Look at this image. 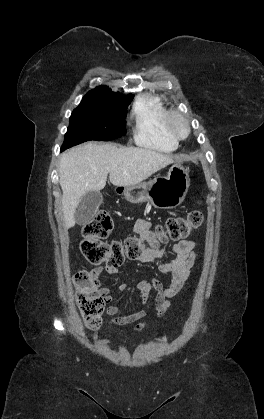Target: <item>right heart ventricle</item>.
Wrapping results in <instances>:
<instances>
[{
    "instance_id": "obj_1",
    "label": "right heart ventricle",
    "mask_w": 264,
    "mask_h": 419,
    "mask_svg": "<svg viewBox=\"0 0 264 419\" xmlns=\"http://www.w3.org/2000/svg\"><path fill=\"white\" fill-rule=\"evenodd\" d=\"M168 110L160 96L146 93L139 96L132 109L133 137L142 147L172 152L177 142L166 131L165 117Z\"/></svg>"
}]
</instances>
